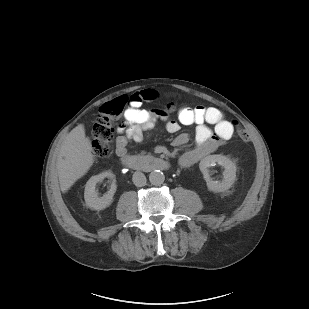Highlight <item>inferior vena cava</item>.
Here are the masks:
<instances>
[{"label":"inferior vena cava","mask_w":309,"mask_h":309,"mask_svg":"<svg viewBox=\"0 0 309 309\" xmlns=\"http://www.w3.org/2000/svg\"><path fill=\"white\" fill-rule=\"evenodd\" d=\"M133 183L137 187H142L146 185V176L142 172H135L132 177Z\"/></svg>","instance_id":"602c4592"}]
</instances>
